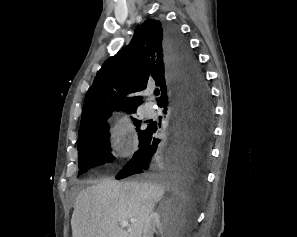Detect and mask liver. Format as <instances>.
Segmentation results:
<instances>
[{
    "mask_svg": "<svg viewBox=\"0 0 297 237\" xmlns=\"http://www.w3.org/2000/svg\"><path fill=\"white\" fill-rule=\"evenodd\" d=\"M165 193L156 182L101 180L76 197L73 237H141L145 222ZM136 219L128 230L122 221Z\"/></svg>",
    "mask_w": 297,
    "mask_h": 237,
    "instance_id": "obj_1",
    "label": "liver"
}]
</instances>
